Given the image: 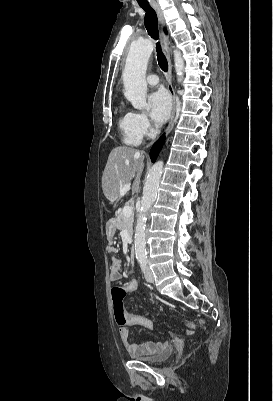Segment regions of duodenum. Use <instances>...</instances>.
I'll return each mask as SVG.
<instances>
[{
	"label": "duodenum",
	"instance_id": "duodenum-1",
	"mask_svg": "<svg viewBox=\"0 0 273 401\" xmlns=\"http://www.w3.org/2000/svg\"><path fill=\"white\" fill-rule=\"evenodd\" d=\"M129 259L131 263L135 261V248L133 246L129 250Z\"/></svg>",
	"mask_w": 273,
	"mask_h": 401
}]
</instances>
